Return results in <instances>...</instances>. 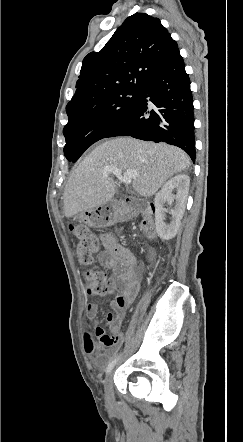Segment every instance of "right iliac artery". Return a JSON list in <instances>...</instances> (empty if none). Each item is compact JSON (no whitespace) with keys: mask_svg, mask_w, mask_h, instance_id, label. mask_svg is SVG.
Masks as SVG:
<instances>
[{"mask_svg":"<svg viewBox=\"0 0 243 442\" xmlns=\"http://www.w3.org/2000/svg\"><path fill=\"white\" fill-rule=\"evenodd\" d=\"M119 359V355L118 356H116L109 364H108V366H107V369H106V373H109L112 369H113V367H114V365L116 364V362H117V360Z\"/></svg>","mask_w":243,"mask_h":442,"instance_id":"1","label":"right iliac artery"}]
</instances>
